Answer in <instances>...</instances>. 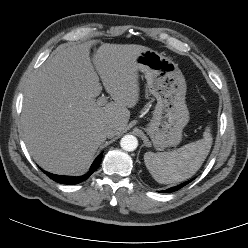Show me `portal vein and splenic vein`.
I'll return each mask as SVG.
<instances>
[{"label":"portal vein and splenic vein","mask_w":248,"mask_h":248,"mask_svg":"<svg viewBox=\"0 0 248 248\" xmlns=\"http://www.w3.org/2000/svg\"><path fill=\"white\" fill-rule=\"evenodd\" d=\"M97 103H98V105H100V106L105 105V104L107 103V97H104V96L99 97V99L97 100Z\"/></svg>","instance_id":"1"}]
</instances>
